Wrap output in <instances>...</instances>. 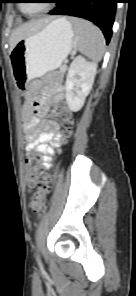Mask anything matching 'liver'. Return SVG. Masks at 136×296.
Listing matches in <instances>:
<instances>
[{
  "instance_id": "1",
  "label": "liver",
  "mask_w": 136,
  "mask_h": 296,
  "mask_svg": "<svg viewBox=\"0 0 136 296\" xmlns=\"http://www.w3.org/2000/svg\"><path fill=\"white\" fill-rule=\"evenodd\" d=\"M50 20L51 18L32 20L18 27L10 37V49L12 50L16 43L21 39H24L42 29L49 23Z\"/></svg>"
}]
</instances>
